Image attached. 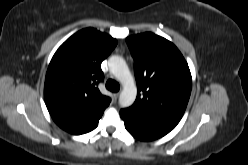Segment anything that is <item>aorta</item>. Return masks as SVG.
Segmentation results:
<instances>
[{
	"mask_svg": "<svg viewBox=\"0 0 248 165\" xmlns=\"http://www.w3.org/2000/svg\"><path fill=\"white\" fill-rule=\"evenodd\" d=\"M108 64L110 72L123 85V90L119 96V104L122 107L131 106L136 99L137 88L127 63L120 56H111Z\"/></svg>",
	"mask_w": 248,
	"mask_h": 165,
	"instance_id": "762f6f07",
	"label": "aorta"
}]
</instances>
